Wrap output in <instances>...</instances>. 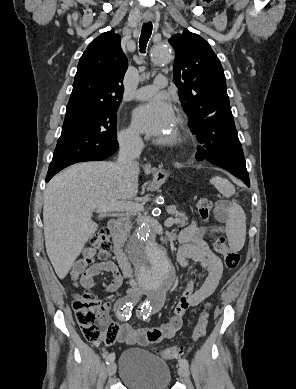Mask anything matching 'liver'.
I'll return each mask as SVG.
<instances>
[{
    "mask_svg": "<svg viewBox=\"0 0 296 389\" xmlns=\"http://www.w3.org/2000/svg\"><path fill=\"white\" fill-rule=\"evenodd\" d=\"M136 174L118 162L75 164L46 186L43 205L45 246L53 268L64 279L86 242L97 231L94 210L115 201L131 200L138 193Z\"/></svg>",
    "mask_w": 296,
    "mask_h": 389,
    "instance_id": "obj_1",
    "label": "liver"
}]
</instances>
